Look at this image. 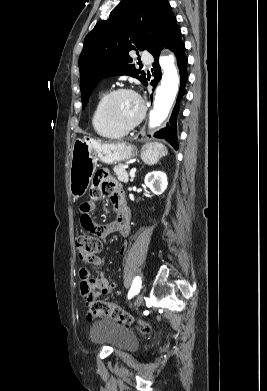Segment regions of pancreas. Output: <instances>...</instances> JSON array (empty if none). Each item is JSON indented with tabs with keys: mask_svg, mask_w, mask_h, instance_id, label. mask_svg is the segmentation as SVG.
Instances as JSON below:
<instances>
[{
	"mask_svg": "<svg viewBox=\"0 0 267 391\" xmlns=\"http://www.w3.org/2000/svg\"><path fill=\"white\" fill-rule=\"evenodd\" d=\"M124 167V165L120 164L118 166H115L113 170L119 181L127 183L129 180V175Z\"/></svg>",
	"mask_w": 267,
	"mask_h": 391,
	"instance_id": "pancreas-1",
	"label": "pancreas"
}]
</instances>
